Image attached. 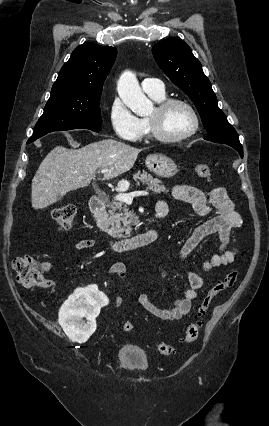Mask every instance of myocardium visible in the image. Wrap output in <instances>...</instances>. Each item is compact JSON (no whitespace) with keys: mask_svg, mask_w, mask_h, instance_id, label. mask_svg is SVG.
<instances>
[{"mask_svg":"<svg viewBox=\"0 0 269 426\" xmlns=\"http://www.w3.org/2000/svg\"><path fill=\"white\" fill-rule=\"evenodd\" d=\"M174 105H182L186 107L192 114L194 124L193 127L186 133L178 136L166 135L161 126V121L167 111ZM154 116L147 117L146 122L149 130V135L153 139L163 143H177L189 139L194 136L200 128V117L195 107L186 100L180 98H169L157 102Z\"/></svg>","mask_w":269,"mask_h":426,"instance_id":"myocardium-1","label":"myocardium"}]
</instances>
